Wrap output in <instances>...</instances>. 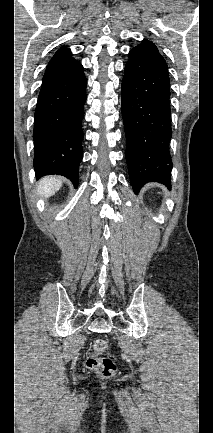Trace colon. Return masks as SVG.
I'll use <instances>...</instances> for the list:
<instances>
[{"instance_id": "1", "label": "colon", "mask_w": 213, "mask_h": 433, "mask_svg": "<svg viewBox=\"0 0 213 433\" xmlns=\"http://www.w3.org/2000/svg\"><path fill=\"white\" fill-rule=\"evenodd\" d=\"M107 349L108 342L104 339H97L93 343L92 351L86 357V366L103 377H108L115 372L113 360L102 356Z\"/></svg>"}]
</instances>
